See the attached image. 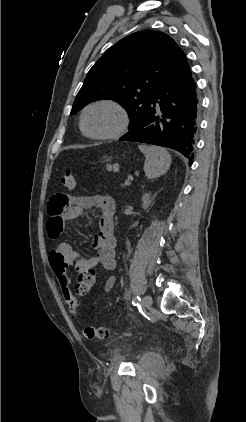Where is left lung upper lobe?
<instances>
[{"mask_svg": "<svg viewBox=\"0 0 246 422\" xmlns=\"http://www.w3.org/2000/svg\"><path fill=\"white\" fill-rule=\"evenodd\" d=\"M182 54L178 44L163 32L142 30L123 38L90 69L71 114L92 101L111 99L129 112V130L133 129Z\"/></svg>", "mask_w": 246, "mask_h": 422, "instance_id": "5c2ea615", "label": "left lung upper lobe"}]
</instances>
